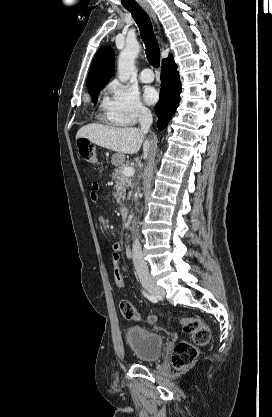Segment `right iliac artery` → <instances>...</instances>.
<instances>
[{
	"instance_id": "right-iliac-artery-1",
	"label": "right iliac artery",
	"mask_w": 272,
	"mask_h": 417,
	"mask_svg": "<svg viewBox=\"0 0 272 417\" xmlns=\"http://www.w3.org/2000/svg\"><path fill=\"white\" fill-rule=\"evenodd\" d=\"M143 295H144V296H145L148 300H150L151 302L156 303V302L158 301V297H157V296H155V295H150V294L146 293L145 291H143Z\"/></svg>"
}]
</instances>
